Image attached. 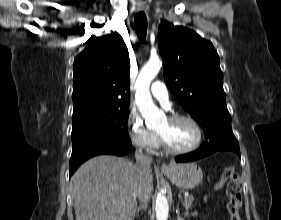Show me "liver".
<instances>
[{
    "instance_id": "obj_1",
    "label": "liver",
    "mask_w": 281,
    "mask_h": 220,
    "mask_svg": "<svg viewBox=\"0 0 281 220\" xmlns=\"http://www.w3.org/2000/svg\"><path fill=\"white\" fill-rule=\"evenodd\" d=\"M140 175L137 165L122 157L86 161L70 181L76 220H134ZM146 177L152 183L151 170Z\"/></svg>"
}]
</instances>
